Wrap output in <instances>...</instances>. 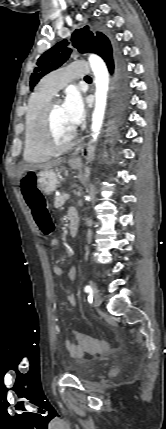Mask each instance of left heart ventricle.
Segmentation results:
<instances>
[{
  "instance_id": "1",
  "label": "left heart ventricle",
  "mask_w": 166,
  "mask_h": 429,
  "mask_svg": "<svg viewBox=\"0 0 166 429\" xmlns=\"http://www.w3.org/2000/svg\"><path fill=\"white\" fill-rule=\"evenodd\" d=\"M73 129L67 119L63 104L56 105L52 113V131L55 141L65 143L69 139Z\"/></svg>"
}]
</instances>
